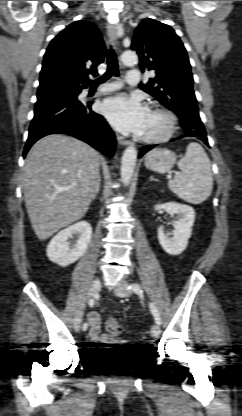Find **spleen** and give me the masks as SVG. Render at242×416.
I'll return each instance as SVG.
<instances>
[{"mask_svg":"<svg viewBox=\"0 0 242 416\" xmlns=\"http://www.w3.org/2000/svg\"><path fill=\"white\" fill-rule=\"evenodd\" d=\"M178 167L180 175L169 182L170 190L192 204L205 201L212 192L213 177L210 160L203 147L195 142L190 143Z\"/></svg>","mask_w":242,"mask_h":416,"instance_id":"3e777b00","label":"spleen"}]
</instances>
